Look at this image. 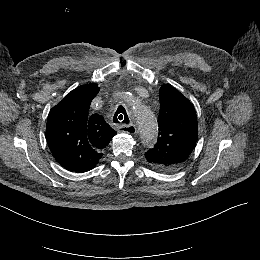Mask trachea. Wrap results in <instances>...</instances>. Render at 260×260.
I'll use <instances>...</instances> for the list:
<instances>
[{
  "label": "trachea",
  "instance_id": "trachea-1",
  "mask_svg": "<svg viewBox=\"0 0 260 260\" xmlns=\"http://www.w3.org/2000/svg\"><path fill=\"white\" fill-rule=\"evenodd\" d=\"M113 122L114 123H123V124H128L129 123V118L126 113V110L123 106H119L113 116Z\"/></svg>",
  "mask_w": 260,
  "mask_h": 260
}]
</instances>
